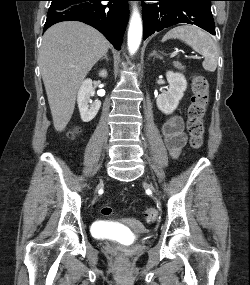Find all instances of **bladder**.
Instances as JSON below:
<instances>
[{
	"label": "bladder",
	"mask_w": 250,
	"mask_h": 285,
	"mask_svg": "<svg viewBox=\"0 0 250 285\" xmlns=\"http://www.w3.org/2000/svg\"><path fill=\"white\" fill-rule=\"evenodd\" d=\"M95 231L96 234L101 238H114L122 235L119 229L111 228L102 224L98 225Z\"/></svg>",
	"instance_id": "1"
}]
</instances>
